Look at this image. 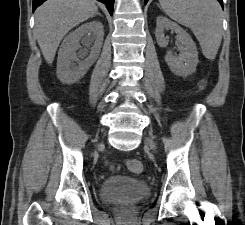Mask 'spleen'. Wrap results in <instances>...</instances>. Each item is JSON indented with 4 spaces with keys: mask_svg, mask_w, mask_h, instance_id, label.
Listing matches in <instances>:
<instances>
[{
    "mask_svg": "<svg viewBox=\"0 0 245 225\" xmlns=\"http://www.w3.org/2000/svg\"><path fill=\"white\" fill-rule=\"evenodd\" d=\"M163 11L173 20L189 27L203 55L215 59L222 40V9L217 0H159Z\"/></svg>",
    "mask_w": 245,
    "mask_h": 225,
    "instance_id": "spleen-1",
    "label": "spleen"
}]
</instances>
